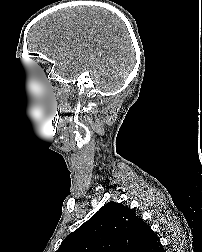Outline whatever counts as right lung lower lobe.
I'll return each mask as SVG.
<instances>
[{
	"label": "right lung lower lobe",
	"mask_w": 202,
	"mask_h": 252,
	"mask_svg": "<svg viewBox=\"0 0 202 252\" xmlns=\"http://www.w3.org/2000/svg\"><path fill=\"white\" fill-rule=\"evenodd\" d=\"M161 249H163V250H162V252H165V250H164V248H163V247H162ZM159 251H160V250H159Z\"/></svg>",
	"instance_id": "obj_1"
}]
</instances>
